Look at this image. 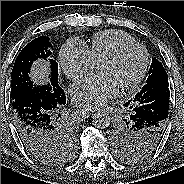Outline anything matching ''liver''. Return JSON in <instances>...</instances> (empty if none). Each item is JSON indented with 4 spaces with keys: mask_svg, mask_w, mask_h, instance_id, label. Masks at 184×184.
<instances>
[{
    "mask_svg": "<svg viewBox=\"0 0 184 184\" xmlns=\"http://www.w3.org/2000/svg\"><path fill=\"white\" fill-rule=\"evenodd\" d=\"M48 72H49L48 63L44 62L43 60L36 61L32 69L33 79L36 82L42 81L44 80Z\"/></svg>",
    "mask_w": 184,
    "mask_h": 184,
    "instance_id": "liver-1",
    "label": "liver"
}]
</instances>
